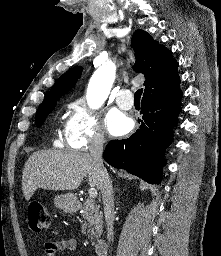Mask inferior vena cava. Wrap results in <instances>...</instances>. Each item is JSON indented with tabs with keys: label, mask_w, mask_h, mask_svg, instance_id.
Segmentation results:
<instances>
[{
	"label": "inferior vena cava",
	"mask_w": 221,
	"mask_h": 256,
	"mask_svg": "<svg viewBox=\"0 0 221 256\" xmlns=\"http://www.w3.org/2000/svg\"><path fill=\"white\" fill-rule=\"evenodd\" d=\"M103 144L104 137L103 135H95L92 139L91 146L89 148L90 155L94 160L96 167L100 173V190L102 192L103 205H104V214L105 220L107 224V239L109 242L114 239V197H113V189L112 182L108 175L106 168L103 165Z\"/></svg>",
	"instance_id": "inferior-vena-cava-1"
}]
</instances>
